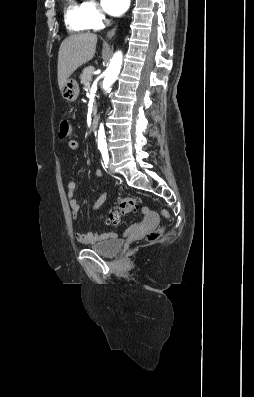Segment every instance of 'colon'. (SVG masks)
<instances>
[{"instance_id":"5ec220e1","label":"colon","mask_w":254,"mask_h":397,"mask_svg":"<svg viewBox=\"0 0 254 397\" xmlns=\"http://www.w3.org/2000/svg\"><path fill=\"white\" fill-rule=\"evenodd\" d=\"M71 126L68 120L62 119L59 124L60 138H67L70 135ZM140 207V200L135 197H124L120 200L117 208L107 215V221L110 223H117L120 218L128 213L136 211ZM164 216L168 217L167 211L163 212ZM162 230H156L147 235L148 241H154L160 237Z\"/></svg>"}]
</instances>
